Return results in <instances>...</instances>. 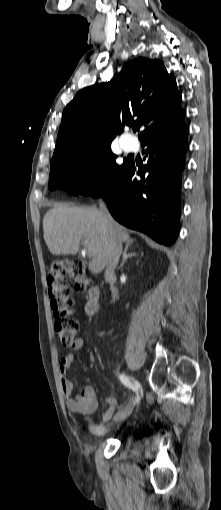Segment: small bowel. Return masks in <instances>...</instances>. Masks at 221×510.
I'll list each match as a JSON object with an SVG mask.
<instances>
[{
  "instance_id": "obj_1",
  "label": "small bowel",
  "mask_w": 221,
  "mask_h": 510,
  "mask_svg": "<svg viewBox=\"0 0 221 510\" xmlns=\"http://www.w3.org/2000/svg\"><path fill=\"white\" fill-rule=\"evenodd\" d=\"M82 345L83 342L79 338L74 341L71 347L73 351H77L82 348ZM73 351L66 353L59 362L60 383L65 397L66 407L73 413L85 416L89 430L95 435H101L107 430L106 423L113 417L118 406V400L113 396L106 398V403L109 407L100 414L99 423H95L88 417L97 409V394L93 387L86 386L79 394L73 395V381L67 375V371L71 367L75 358Z\"/></svg>"
}]
</instances>
